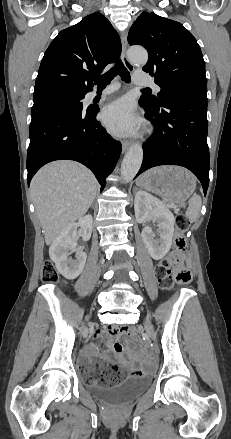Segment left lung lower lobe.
I'll list each match as a JSON object with an SVG mask.
<instances>
[{
	"instance_id": "left-lung-lower-lobe-1",
	"label": "left lung lower lobe",
	"mask_w": 231,
	"mask_h": 439,
	"mask_svg": "<svg viewBox=\"0 0 231 439\" xmlns=\"http://www.w3.org/2000/svg\"><path fill=\"white\" fill-rule=\"evenodd\" d=\"M207 102L206 94L191 91L170 93L157 105L140 98L155 134L143 145L144 158L136 177L159 165L183 166L197 176L206 195L210 168Z\"/></svg>"
}]
</instances>
